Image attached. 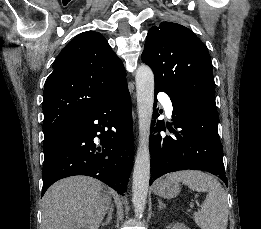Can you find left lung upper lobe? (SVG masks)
<instances>
[{
    "label": "left lung upper lobe",
    "mask_w": 261,
    "mask_h": 229,
    "mask_svg": "<svg viewBox=\"0 0 261 229\" xmlns=\"http://www.w3.org/2000/svg\"><path fill=\"white\" fill-rule=\"evenodd\" d=\"M141 59L153 70L155 86L166 93L193 96L216 105L208 49L188 28L172 22L151 27Z\"/></svg>",
    "instance_id": "obj_1"
}]
</instances>
